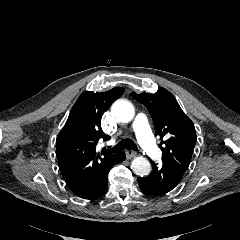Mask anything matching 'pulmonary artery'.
Wrapping results in <instances>:
<instances>
[{
	"mask_svg": "<svg viewBox=\"0 0 240 240\" xmlns=\"http://www.w3.org/2000/svg\"><path fill=\"white\" fill-rule=\"evenodd\" d=\"M132 129L145 152L152 158H159L161 151L154 142L144 113L137 114L132 123Z\"/></svg>",
	"mask_w": 240,
	"mask_h": 240,
	"instance_id": "obj_1",
	"label": "pulmonary artery"
}]
</instances>
